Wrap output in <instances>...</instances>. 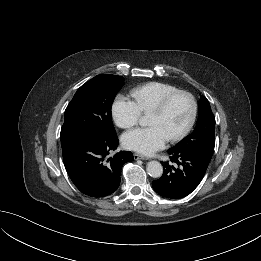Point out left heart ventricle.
Wrapping results in <instances>:
<instances>
[{
	"label": "left heart ventricle",
	"mask_w": 261,
	"mask_h": 261,
	"mask_svg": "<svg viewBox=\"0 0 261 261\" xmlns=\"http://www.w3.org/2000/svg\"><path fill=\"white\" fill-rule=\"evenodd\" d=\"M191 112L190 101L180 96L176 98L164 114L151 113L149 125H157L163 129L168 137L179 133L187 124Z\"/></svg>",
	"instance_id": "b2bd125f"
}]
</instances>
